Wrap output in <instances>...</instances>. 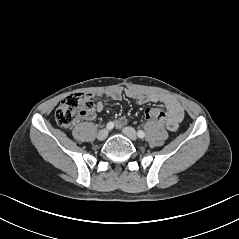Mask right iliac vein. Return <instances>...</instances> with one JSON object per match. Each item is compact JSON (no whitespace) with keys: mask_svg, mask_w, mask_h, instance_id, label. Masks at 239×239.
<instances>
[{"mask_svg":"<svg viewBox=\"0 0 239 239\" xmlns=\"http://www.w3.org/2000/svg\"><path fill=\"white\" fill-rule=\"evenodd\" d=\"M108 136V130L107 129H102L98 132L97 134V139L100 141H103L107 138Z\"/></svg>","mask_w":239,"mask_h":239,"instance_id":"right-iliac-vein-1","label":"right iliac vein"}]
</instances>
